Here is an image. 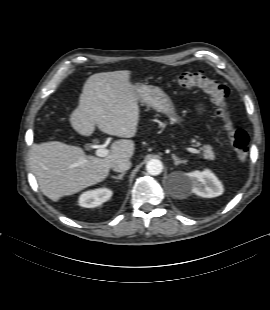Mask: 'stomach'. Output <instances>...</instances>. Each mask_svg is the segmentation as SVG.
Returning <instances> with one entry per match:
<instances>
[{
	"label": "stomach",
	"instance_id": "0dacf381",
	"mask_svg": "<svg viewBox=\"0 0 270 310\" xmlns=\"http://www.w3.org/2000/svg\"><path fill=\"white\" fill-rule=\"evenodd\" d=\"M137 100L144 102L157 111L166 114L172 123H181L183 119L177 115L168 95L159 87L151 85H134Z\"/></svg>",
	"mask_w": 270,
	"mask_h": 310
}]
</instances>
